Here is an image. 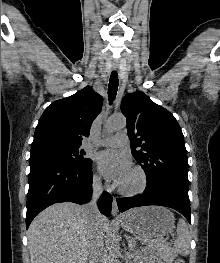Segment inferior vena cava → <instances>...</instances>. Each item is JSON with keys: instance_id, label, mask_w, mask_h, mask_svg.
Listing matches in <instances>:
<instances>
[{"instance_id": "inferior-vena-cava-1", "label": "inferior vena cava", "mask_w": 220, "mask_h": 263, "mask_svg": "<svg viewBox=\"0 0 220 263\" xmlns=\"http://www.w3.org/2000/svg\"><path fill=\"white\" fill-rule=\"evenodd\" d=\"M102 190L103 188L100 179H94L92 185V199L85 206L91 220V236L88 263H98V258L103 250L104 245V233L96 223L97 218L101 215L97 208L96 201L100 197Z\"/></svg>"}]
</instances>
